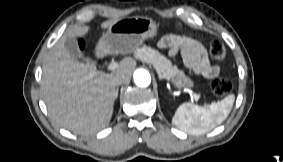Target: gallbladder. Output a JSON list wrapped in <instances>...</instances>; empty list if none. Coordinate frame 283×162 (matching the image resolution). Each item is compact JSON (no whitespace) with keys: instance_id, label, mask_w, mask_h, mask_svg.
<instances>
[{"instance_id":"1","label":"gallbladder","mask_w":283,"mask_h":162,"mask_svg":"<svg viewBox=\"0 0 283 162\" xmlns=\"http://www.w3.org/2000/svg\"><path fill=\"white\" fill-rule=\"evenodd\" d=\"M65 49L69 54L75 58H82V53L79 49L78 43L73 38H67L64 43Z\"/></svg>"}]
</instances>
